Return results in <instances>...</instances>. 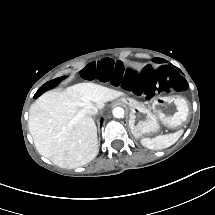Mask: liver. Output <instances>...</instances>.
<instances>
[{"label":"liver","mask_w":215,"mask_h":215,"mask_svg":"<svg viewBox=\"0 0 215 215\" xmlns=\"http://www.w3.org/2000/svg\"><path fill=\"white\" fill-rule=\"evenodd\" d=\"M123 92L91 81L47 91L29 109L28 128L37 151L59 167L77 168L98 153L97 128L86 105L105 108Z\"/></svg>","instance_id":"6515ba94"}]
</instances>
